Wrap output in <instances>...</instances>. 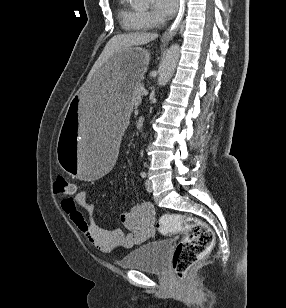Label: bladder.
I'll list each match as a JSON object with an SVG mask.
<instances>
[{
  "label": "bladder",
  "mask_w": 286,
  "mask_h": 308,
  "mask_svg": "<svg viewBox=\"0 0 286 308\" xmlns=\"http://www.w3.org/2000/svg\"><path fill=\"white\" fill-rule=\"evenodd\" d=\"M170 244L167 241H151L126 254L120 260L123 269L140 270L148 273H163Z\"/></svg>",
  "instance_id": "bladder-1"
}]
</instances>
